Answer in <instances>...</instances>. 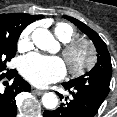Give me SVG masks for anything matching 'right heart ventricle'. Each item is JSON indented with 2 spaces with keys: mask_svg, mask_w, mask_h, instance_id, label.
I'll return each instance as SVG.
<instances>
[{
  "mask_svg": "<svg viewBox=\"0 0 117 117\" xmlns=\"http://www.w3.org/2000/svg\"><path fill=\"white\" fill-rule=\"evenodd\" d=\"M53 30H54L56 37L64 43L74 39L76 36L75 28L65 22H57L54 25Z\"/></svg>",
  "mask_w": 117,
  "mask_h": 117,
  "instance_id": "obj_1",
  "label": "right heart ventricle"
}]
</instances>
